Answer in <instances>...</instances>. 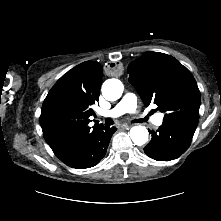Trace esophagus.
<instances>
[{
    "label": "esophagus",
    "mask_w": 221,
    "mask_h": 221,
    "mask_svg": "<svg viewBox=\"0 0 221 221\" xmlns=\"http://www.w3.org/2000/svg\"><path fill=\"white\" fill-rule=\"evenodd\" d=\"M123 128H124V129H129V128H130V126H129V125H127V124H125V125H123Z\"/></svg>",
    "instance_id": "1"
}]
</instances>
